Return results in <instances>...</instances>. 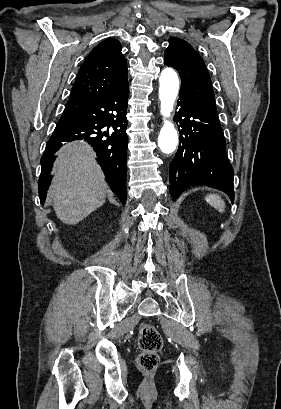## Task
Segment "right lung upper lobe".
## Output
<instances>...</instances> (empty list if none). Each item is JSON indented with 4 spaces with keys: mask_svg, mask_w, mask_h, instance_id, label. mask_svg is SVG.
Here are the masks:
<instances>
[{
    "mask_svg": "<svg viewBox=\"0 0 281 409\" xmlns=\"http://www.w3.org/2000/svg\"><path fill=\"white\" fill-rule=\"evenodd\" d=\"M121 49L119 41L109 38L91 51L78 72L70 102L98 98L128 83Z\"/></svg>",
    "mask_w": 281,
    "mask_h": 409,
    "instance_id": "1",
    "label": "right lung upper lobe"
}]
</instances>
